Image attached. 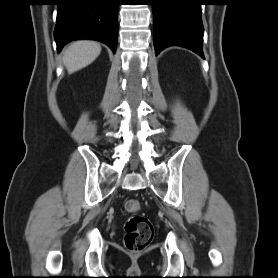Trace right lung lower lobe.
Listing matches in <instances>:
<instances>
[{"instance_id":"right-lung-lower-lobe-1","label":"right lung lower lobe","mask_w":278,"mask_h":278,"mask_svg":"<svg viewBox=\"0 0 278 278\" xmlns=\"http://www.w3.org/2000/svg\"><path fill=\"white\" fill-rule=\"evenodd\" d=\"M58 52L73 40H98L116 52L118 0H57Z\"/></svg>"}]
</instances>
